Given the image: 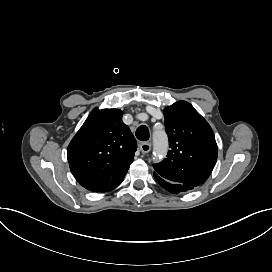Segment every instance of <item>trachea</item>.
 <instances>
[{
    "mask_svg": "<svg viewBox=\"0 0 272 272\" xmlns=\"http://www.w3.org/2000/svg\"><path fill=\"white\" fill-rule=\"evenodd\" d=\"M136 137L141 141H147L149 139V130L145 125H141L136 130Z\"/></svg>",
    "mask_w": 272,
    "mask_h": 272,
    "instance_id": "trachea-1",
    "label": "trachea"
}]
</instances>
